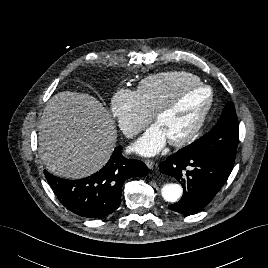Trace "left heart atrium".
<instances>
[{"mask_svg":"<svg viewBox=\"0 0 268 268\" xmlns=\"http://www.w3.org/2000/svg\"><path fill=\"white\" fill-rule=\"evenodd\" d=\"M166 140L160 127L155 124L146 129L141 138L132 146V150L143 156H152L163 148Z\"/></svg>","mask_w":268,"mask_h":268,"instance_id":"1","label":"left heart atrium"}]
</instances>
